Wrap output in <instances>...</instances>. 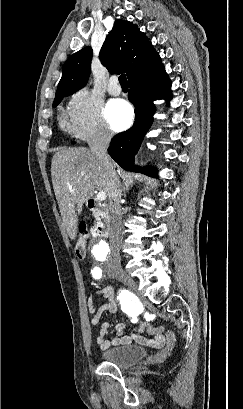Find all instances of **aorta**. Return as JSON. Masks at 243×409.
<instances>
[{"mask_svg": "<svg viewBox=\"0 0 243 409\" xmlns=\"http://www.w3.org/2000/svg\"><path fill=\"white\" fill-rule=\"evenodd\" d=\"M106 248V243L103 240H100L95 246H94V253L96 254H103Z\"/></svg>", "mask_w": 243, "mask_h": 409, "instance_id": "aorta-1", "label": "aorta"}]
</instances>
